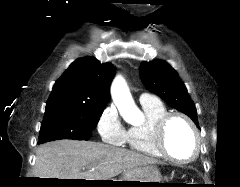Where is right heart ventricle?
<instances>
[{
	"label": "right heart ventricle",
	"mask_w": 240,
	"mask_h": 187,
	"mask_svg": "<svg viewBox=\"0 0 240 187\" xmlns=\"http://www.w3.org/2000/svg\"><path fill=\"white\" fill-rule=\"evenodd\" d=\"M146 120L140 125H135L127 130L126 144L132 151L150 157L161 158L154 143V130L158 120L168 113L165 105L160 102L142 104Z\"/></svg>",
	"instance_id": "1"
}]
</instances>
